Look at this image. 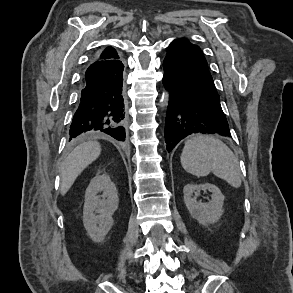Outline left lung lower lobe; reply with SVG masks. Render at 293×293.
Segmentation results:
<instances>
[{
  "instance_id": "1",
  "label": "left lung lower lobe",
  "mask_w": 293,
  "mask_h": 293,
  "mask_svg": "<svg viewBox=\"0 0 293 293\" xmlns=\"http://www.w3.org/2000/svg\"><path fill=\"white\" fill-rule=\"evenodd\" d=\"M163 68V83L170 92L165 124L168 152L194 133L230 137L216 87L192 64L182 41L170 43Z\"/></svg>"
}]
</instances>
